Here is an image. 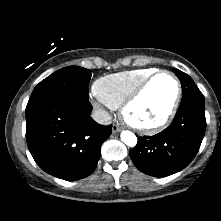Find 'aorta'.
Wrapping results in <instances>:
<instances>
[{
    "label": "aorta",
    "instance_id": "aorta-1",
    "mask_svg": "<svg viewBox=\"0 0 221 221\" xmlns=\"http://www.w3.org/2000/svg\"><path fill=\"white\" fill-rule=\"evenodd\" d=\"M121 141L129 147H134L137 144V137L131 131H122Z\"/></svg>",
    "mask_w": 221,
    "mask_h": 221
}]
</instances>
